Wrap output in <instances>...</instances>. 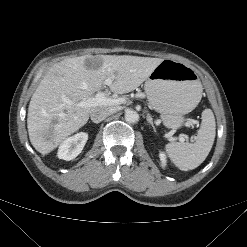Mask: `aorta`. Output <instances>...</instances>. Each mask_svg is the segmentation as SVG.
<instances>
[{
	"label": "aorta",
	"instance_id": "1",
	"mask_svg": "<svg viewBox=\"0 0 247 247\" xmlns=\"http://www.w3.org/2000/svg\"><path fill=\"white\" fill-rule=\"evenodd\" d=\"M125 120L128 123H136L139 121V114L134 110H128L125 113Z\"/></svg>",
	"mask_w": 247,
	"mask_h": 247
}]
</instances>
